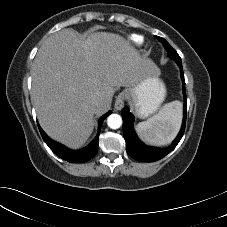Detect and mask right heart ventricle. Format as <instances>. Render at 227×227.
I'll list each match as a JSON object with an SVG mask.
<instances>
[{"instance_id":"obj_1","label":"right heart ventricle","mask_w":227,"mask_h":227,"mask_svg":"<svg viewBox=\"0 0 227 227\" xmlns=\"http://www.w3.org/2000/svg\"><path fill=\"white\" fill-rule=\"evenodd\" d=\"M131 39L135 42V43H140L141 39L138 36H133L131 37Z\"/></svg>"}]
</instances>
